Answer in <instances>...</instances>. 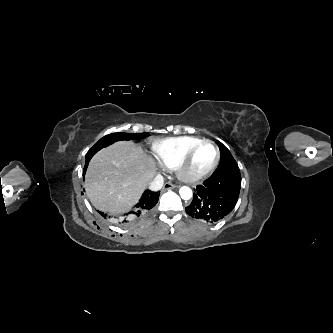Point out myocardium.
Here are the masks:
<instances>
[{
  "label": "myocardium",
  "mask_w": 333,
  "mask_h": 333,
  "mask_svg": "<svg viewBox=\"0 0 333 333\" xmlns=\"http://www.w3.org/2000/svg\"><path fill=\"white\" fill-rule=\"evenodd\" d=\"M205 144H210L216 149V159L213 162V164L205 171L197 173V174H190L187 171L188 165H189L190 161L192 160L196 151ZM220 158H221V152H220V149L217 146V144L212 140L203 139L200 142H198L197 144H195L194 146H192L182 156V158L178 162L177 166L175 167V172H176L178 178L181 179L182 181H184L186 183H194V182L200 181V180L204 179L205 177H207L208 175H210L218 166V164L220 162Z\"/></svg>",
  "instance_id": "f54148a6"
}]
</instances>
